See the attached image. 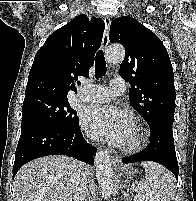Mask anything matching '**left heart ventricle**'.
<instances>
[{
	"mask_svg": "<svg viewBox=\"0 0 196 201\" xmlns=\"http://www.w3.org/2000/svg\"><path fill=\"white\" fill-rule=\"evenodd\" d=\"M137 137V130H136V127L134 126L128 136V139L125 143V145H129L131 144Z\"/></svg>",
	"mask_w": 196,
	"mask_h": 201,
	"instance_id": "left-heart-ventricle-1",
	"label": "left heart ventricle"
}]
</instances>
